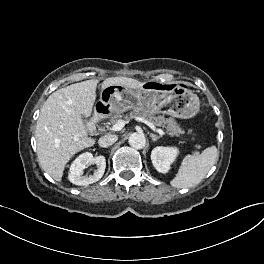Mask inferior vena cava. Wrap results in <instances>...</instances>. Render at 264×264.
<instances>
[{"label":"inferior vena cava","mask_w":264,"mask_h":264,"mask_svg":"<svg viewBox=\"0 0 264 264\" xmlns=\"http://www.w3.org/2000/svg\"><path fill=\"white\" fill-rule=\"evenodd\" d=\"M118 137L116 135H104L99 138L98 143L100 147L107 148L113 145L117 141Z\"/></svg>","instance_id":"obj_1"}]
</instances>
